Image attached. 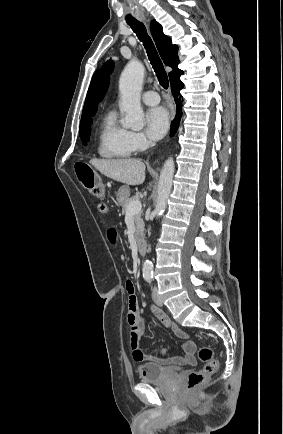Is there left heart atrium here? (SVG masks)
<instances>
[{
	"label": "left heart atrium",
	"instance_id": "1",
	"mask_svg": "<svg viewBox=\"0 0 283 434\" xmlns=\"http://www.w3.org/2000/svg\"><path fill=\"white\" fill-rule=\"evenodd\" d=\"M147 132L153 139H160L169 127V114L163 107L151 108L146 115Z\"/></svg>",
	"mask_w": 283,
	"mask_h": 434
}]
</instances>
